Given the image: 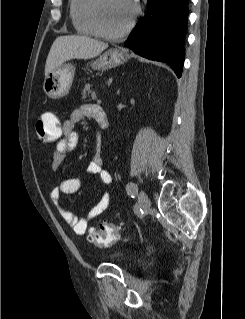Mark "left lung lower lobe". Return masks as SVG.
Instances as JSON below:
<instances>
[{
  "mask_svg": "<svg viewBox=\"0 0 245 319\" xmlns=\"http://www.w3.org/2000/svg\"><path fill=\"white\" fill-rule=\"evenodd\" d=\"M188 1L147 0V14L138 21L125 46L140 56L167 63L180 77L185 57Z\"/></svg>",
  "mask_w": 245,
  "mask_h": 319,
  "instance_id": "1",
  "label": "left lung lower lobe"
}]
</instances>
